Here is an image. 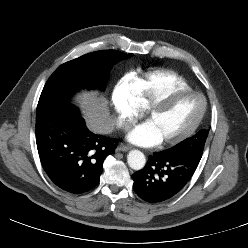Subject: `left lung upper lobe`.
I'll return each mask as SVG.
<instances>
[{
	"label": "left lung upper lobe",
	"mask_w": 248,
	"mask_h": 248,
	"mask_svg": "<svg viewBox=\"0 0 248 248\" xmlns=\"http://www.w3.org/2000/svg\"><path fill=\"white\" fill-rule=\"evenodd\" d=\"M209 130H201L195 136L188 138L176 147L170 149L173 152H199L203 153L204 145Z\"/></svg>",
	"instance_id": "1"
}]
</instances>
